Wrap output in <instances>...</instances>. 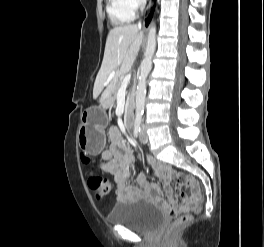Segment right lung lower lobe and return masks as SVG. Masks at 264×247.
Instances as JSON below:
<instances>
[{
    "label": "right lung lower lobe",
    "mask_w": 264,
    "mask_h": 247,
    "mask_svg": "<svg viewBox=\"0 0 264 247\" xmlns=\"http://www.w3.org/2000/svg\"><path fill=\"white\" fill-rule=\"evenodd\" d=\"M153 12H154V7L152 8L151 13L149 14L148 18L145 20L146 21V26L149 25L150 20H151L152 15H153Z\"/></svg>",
    "instance_id": "obj_1"
}]
</instances>
